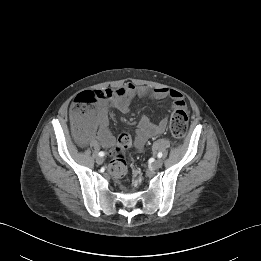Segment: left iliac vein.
<instances>
[{
	"label": "left iliac vein",
	"mask_w": 261,
	"mask_h": 261,
	"mask_svg": "<svg viewBox=\"0 0 261 261\" xmlns=\"http://www.w3.org/2000/svg\"><path fill=\"white\" fill-rule=\"evenodd\" d=\"M162 165H163L162 159L158 158V159H156V160L153 162L152 168H153V169H159V168L162 167Z\"/></svg>",
	"instance_id": "4c4485c4"
}]
</instances>
